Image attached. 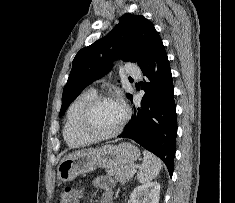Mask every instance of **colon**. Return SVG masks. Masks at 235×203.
<instances>
[{
    "mask_svg": "<svg viewBox=\"0 0 235 203\" xmlns=\"http://www.w3.org/2000/svg\"><path fill=\"white\" fill-rule=\"evenodd\" d=\"M83 191L80 188L66 187L61 194V203H80Z\"/></svg>",
    "mask_w": 235,
    "mask_h": 203,
    "instance_id": "colon-1",
    "label": "colon"
}]
</instances>
